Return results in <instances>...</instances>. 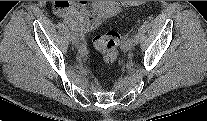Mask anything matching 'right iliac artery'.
<instances>
[{
  "label": "right iliac artery",
  "instance_id": "82829eb1",
  "mask_svg": "<svg viewBox=\"0 0 207 121\" xmlns=\"http://www.w3.org/2000/svg\"><path fill=\"white\" fill-rule=\"evenodd\" d=\"M65 24L68 25V27L70 28V30L72 31L73 34H75L78 37V41L80 42V48L81 49H86V45L84 43V39L82 34L79 32V29L76 27L75 24L68 22L66 20H64Z\"/></svg>",
  "mask_w": 207,
  "mask_h": 121
}]
</instances>
